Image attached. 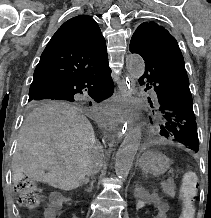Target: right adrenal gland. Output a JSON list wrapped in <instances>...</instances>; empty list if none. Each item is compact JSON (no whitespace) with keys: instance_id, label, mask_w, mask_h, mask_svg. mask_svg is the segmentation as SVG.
<instances>
[{"instance_id":"1","label":"right adrenal gland","mask_w":211,"mask_h":218,"mask_svg":"<svg viewBox=\"0 0 211 218\" xmlns=\"http://www.w3.org/2000/svg\"><path fill=\"white\" fill-rule=\"evenodd\" d=\"M94 182H91L89 188H86L85 192H88V194H90V192H92L94 186H93Z\"/></svg>"}]
</instances>
